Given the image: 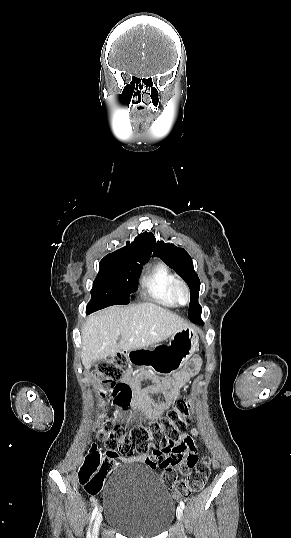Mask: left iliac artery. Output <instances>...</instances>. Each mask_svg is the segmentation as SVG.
Listing matches in <instances>:
<instances>
[{"label":"left iliac artery","instance_id":"1","mask_svg":"<svg viewBox=\"0 0 291 538\" xmlns=\"http://www.w3.org/2000/svg\"><path fill=\"white\" fill-rule=\"evenodd\" d=\"M180 507H181L182 509H184V508H185V504H184V502H183V501H180Z\"/></svg>","mask_w":291,"mask_h":538}]
</instances>
